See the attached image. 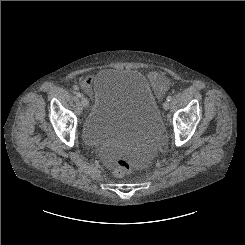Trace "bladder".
Returning a JSON list of instances; mask_svg holds the SVG:
<instances>
[{"instance_id": "1", "label": "bladder", "mask_w": 245, "mask_h": 245, "mask_svg": "<svg viewBox=\"0 0 245 245\" xmlns=\"http://www.w3.org/2000/svg\"><path fill=\"white\" fill-rule=\"evenodd\" d=\"M93 85L92 108L80 129L85 145L134 146L160 132L159 103L138 70L105 68Z\"/></svg>"}]
</instances>
